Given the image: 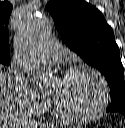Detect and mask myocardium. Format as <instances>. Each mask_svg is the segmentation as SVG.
Masks as SVG:
<instances>
[{
	"mask_svg": "<svg viewBox=\"0 0 125 128\" xmlns=\"http://www.w3.org/2000/svg\"><path fill=\"white\" fill-rule=\"evenodd\" d=\"M79 72H87V73L93 75L98 80L100 87H101V100H100L98 107L90 112L69 113V112L65 111L60 106L58 101L53 97L52 104H53V108H54L56 115L58 117H60L61 119L69 121V122H87V121L96 119L104 112V110L107 108L108 102H109L108 83H107L106 79L104 78V76L98 70H96L90 66L80 64V65H75V66L68 68L63 73V76L65 77V76H69V75L79 73Z\"/></svg>",
	"mask_w": 125,
	"mask_h": 128,
	"instance_id": "1",
	"label": "myocardium"
}]
</instances>
